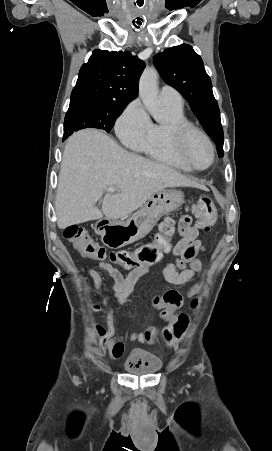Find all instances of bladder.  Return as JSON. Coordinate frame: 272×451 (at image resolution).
I'll return each mask as SVG.
<instances>
[{"mask_svg":"<svg viewBox=\"0 0 272 451\" xmlns=\"http://www.w3.org/2000/svg\"><path fill=\"white\" fill-rule=\"evenodd\" d=\"M124 368L129 375H152L162 368V361L146 348H135L127 356Z\"/></svg>","mask_w":272,"mask_h":451,"instance_id":"1","label":"bladder"}]
</instances>
